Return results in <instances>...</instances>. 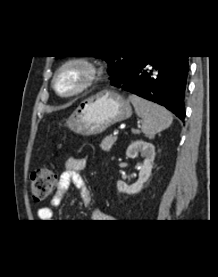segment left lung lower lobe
Segmentation results:
<instances>
[{"label": "left lung lower lobe", "instance_id": "0a47b994", "mask_svg": "<svg viewBox=\"0 0 218 277\" xmlns=\"http://www.w3.org/2000/svg\"><path fill=\"white\" fill-rule=\"evenodd\" d=\"M188 56L134 55L111 85L156 102L185 118Z\"/></svg>", "mask_w": 218, "mask_h": 277}]
</instances>
